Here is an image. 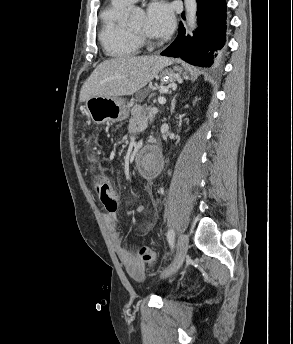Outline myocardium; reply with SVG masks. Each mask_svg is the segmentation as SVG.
<instances>
[{
  "label": "myocardium",
  "mask_w": 293,
  "mask_h": 344,
  "mask_svg": "<svg viewBox=\"0 0 293 344\" xmlns=\"http://www.w3.org/2000/svg\"><path fill=\"white\" fill-rule=\"evenodd\" d=\"M127 31L128 33L133 36L136 40H138L139 42L142 43H149V39L148 37L143 34V33H139V32H135L133 30H131L130 28L127 27Z\"/></svg>",
  "instance_id": "1"
}]
</instances>
